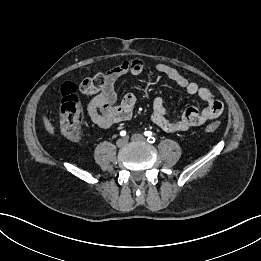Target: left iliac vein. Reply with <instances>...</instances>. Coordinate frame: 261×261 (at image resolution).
Returning <instances> with one entry per match:
<instances>
[{"mask_svg":"<svg viewBox=\"0 0 261 261\" xmlns=\"http://www.w3.org/2000/svg\"><path fill=\"white\" fill-rule=\"evenodd\" d=\"M131 140L135 142H145L146 138L142 134L137 133L132 135Z\"/></svg>","mask_w":261,"mask_h":261,"instance_id":"obj_1","label":"left iliac vein"}]
</instances>
